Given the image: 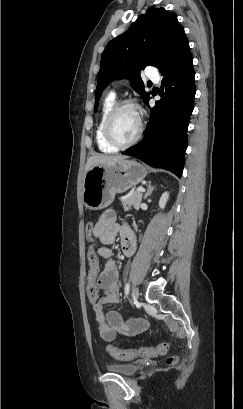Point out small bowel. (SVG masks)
Returning a JSON list of instances; mask_svg holds the SVG:
<instances>
[{
  "instance_id": "small-bowel-1",
  "label": "small bowel",
  "mask_w": 243,
  "mask_h": 409,
  "mask_svg": "<svg viewBox=\"0 0 243 409\" xmlns=\"http://www.w3.org/2000/svg\"><path fill=\"white\" fill-rule=\"evenodd\" d=\"M118 234L121 237L123 253L126 256H131L136 246L133 230L126 223H118L115 211L103 212L93 229V236L98 239L100 245L95 257L89 258L87 287L94 286L98 290H104V295L93 304L92 309L99 335L107 342L113 341L118 332L128 336H136L148 327V322L144 319L125 322L116 310L104 312L105 305L119 301V272L113 259V252L108 247L114 243ZM99 258L106 261L101 271L99 270Z\"/></svg>"
}]
</instances>
